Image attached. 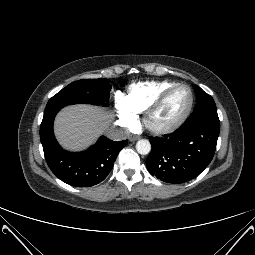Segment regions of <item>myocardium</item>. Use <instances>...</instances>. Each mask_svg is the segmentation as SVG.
<instances>
[{
  "mask_svg": "<svg viewBox=\"0 0 255 255\" xmlns=\"http://www.w3.org/2000/svg\"><path fill=\"white\" fill-rule=\"evenodd\" d=\"M186 89L189 92L190 100L187 109L185 112L174 122L167 125H156L152 122L153 116L155 113L163 106L168 97L178 89ZM194 105V95L191 88L184 84H176L167 90H165L145 111L143 123L148 131L153 134H167L178 129L190 115Z\"/></svg>",
  "mask_w": 255,
  "mask_h": 255,
  "instance_id": "f54148a6",
  "label": "myocardium"
}]
</instances>
